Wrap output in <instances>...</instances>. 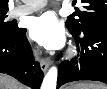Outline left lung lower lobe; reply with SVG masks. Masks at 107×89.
Here are the masks:
<instances>
[{
	"label": "left lung lower lobe",
	"instance_id": "obj_1",
	"mask_svg": "<svg viewBox=\"0 0 107 89\" xmlns=\"http://www.w3.org/2000/svg\"><path fill=\"white\" fill-rule=\"evenodd\" d=\"M69 30L75 38L79 54L59 66L57 88L77 80L107 84V23L91 24L81 32Z\"/></svg>",
	"mask_w": 107,
	"mask_h": 89
}]
</instances>
